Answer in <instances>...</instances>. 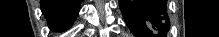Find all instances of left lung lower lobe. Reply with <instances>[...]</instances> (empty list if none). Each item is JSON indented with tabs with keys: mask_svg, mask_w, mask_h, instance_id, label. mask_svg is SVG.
I'll return each instance as SVG.
<instances>
[{
	"mask_svg": "<svg viewBox=\"0 0 219 37\" xmlns=\"http://www.w3.org/2000/svg\"><path fill=\"white\" fill-rule=\"evenodd\" d=\"M119 7L136 37H166L170 26L166 0H119Z\"/></svg>",
	"mask_w": 219,
	"mask_h": 37,
	"instance_id": "1",
	"label": "left lung lower lobe"
}]
</instances>
